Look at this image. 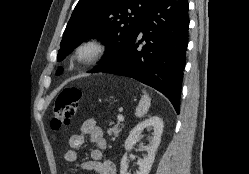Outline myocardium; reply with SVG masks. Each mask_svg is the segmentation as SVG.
<instances>
[{
    "label": "myocardium",
    "instance_id": "myocardium-1",
    "mask_svg": "<svg viewBox=\"0 0 249 174\" xmlns=\"http://www.w3.org/2000/svg\"><path fill=\"white\" fill-rule=\"evenodd\" d=\"M107 45L98 37H89L81 41L76 48V58L84 64L99 61L106 53Z\"/></svg>",
    "mask_w": 249,
    "mask_h": 174
}]
</instances>
